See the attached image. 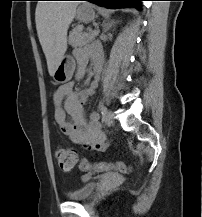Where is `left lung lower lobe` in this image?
I'll return each mask as SVG.
<instances>
[{"label": "left lung lower lobe", "instance_id": "1", "mask_svg": "<svg viewBox=\"0 0 202 217\" xmlns=\"http://www.w3.org/2000/svg\"><path fill=\"white\" fill-rule=\"evenodd\" d=\"M91 3L97 4L106 8H128V7H137V5L144 0H84Z\"/></svg>", "mask_w": 202, "mask_h": 217}]
</instances>
